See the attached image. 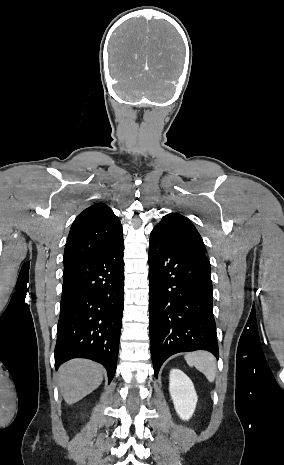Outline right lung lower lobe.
Here are the masks:
<instances>
[{"label":"right lung lower lobe","instance_id":"right-lung-lower-lobe-1","mask_svg":"<svg viewBox=\"0 0 284 465\" xmlns=\"http://www.w3.org/2000/svg\"><path fill=\"white\" fill-rule=\"evenodd\" d=\"M123 239L79 266L64 270L55 347L56 369L73 358L101 363L109 382L119 350L124 301Z\"/></svg>","mask_w":284,"mask_h":465}]
</instances>
